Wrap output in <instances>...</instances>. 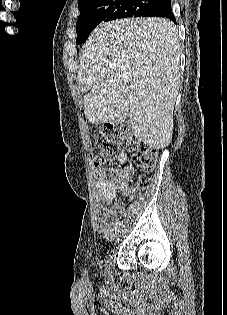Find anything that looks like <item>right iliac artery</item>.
Returning <instances> with one entry per match:
<instances>
[{
  "mask_svg": "<svg viewBox=\"0 0 227 315\" xmlns=\"http://www.w3.org/2000/svg\"><path fill=\"white\" fill-rule=\"evenodd\" d=\"M120 225H121V222H120V221H117V222L115 223V229H118Z\"/></svg>",
  "mask_w": 227,
  "mask_h": 315,
  "instance_id": "obj_1",
  "label": "right iliac artery"
}]
</instances>
